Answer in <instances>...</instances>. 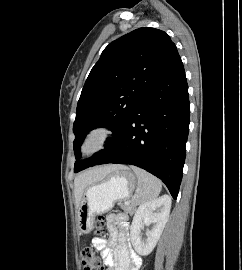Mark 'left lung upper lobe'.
Listing matches in <instances>:
<instances>
[{"label": "left lung upper lobe", "mask_w": 242, "mask_h": 270, "mask_svg": "<svg viewBox=\"0 0 242 270\" xmlns=\"http://www.w3.org/2000/svg\"><path fill=\"white\" fill-rule=\"evenodd\" d=\"M178 57L170 37L155 28L136 29L104 49L85 82L76 109L74 172L89 167L105 150L88 160H79L86 134L97 127L112 129L108 146L144 101L155 80Z\"/></svg>", "instance_id": "left-lung-upper-lobe-1"}]
</instances>
